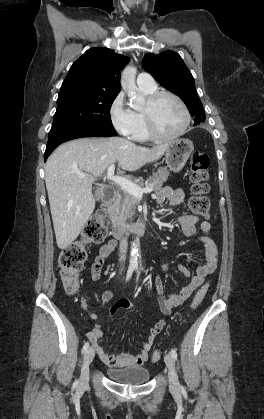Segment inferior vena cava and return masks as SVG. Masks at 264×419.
<instances>
[{
	"label": "inferior vena cava",
	"instance_id": "obj_1",
	"mask_svg": "<svg viewBox=\"0 0 264 419\" xmlns=\"http://www.w3.org/2000/svg\"><path fill=\"white\" fill-rule=\"evenodd\" d=\"M127 247H128L127 239L126 238H123L120 241V247H119V250H120V261H124L125 260V255L127 253Z\"/></svg>",
	"mask_w": 264,
	"mask_h": 419
}]
</instances>
